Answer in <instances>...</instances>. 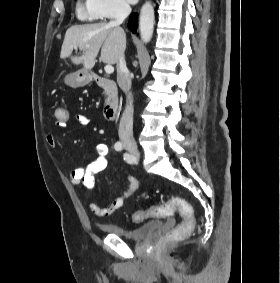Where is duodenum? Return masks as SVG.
I'll list each match as a JSON object with an SVG mask.
<instances>
[{"label": "duodenum", "mask_w": 280, "mask_h": 283, "mask_svg": "<svg viewBox=\"0 0 280 283\" xmlns=\"http://www.w3.org/2000/svg\"><path fill=\"white\" fill-rule=\"evenodd\" d=\"M90 79L104 91L103 113L108 120H113L119 110V96L116 83L98 74H91Z\"/></svg>", "instance_id": "410a0bca"}]
</instances>
